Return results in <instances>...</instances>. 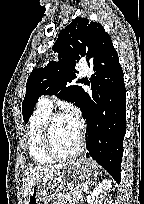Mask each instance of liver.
<instances>
[{
    "label": "liver",
    "mask_w": 144,
    "mask_h": 204,
    "mask_svg": "<svg viewBox=\"0 0 144 204\" xmlns=\"http://www.w3.org/2000/svg\"><path fill=\"white\" fill-rule=\"evenodd\" d=\"M62 163L57 165H37L28 167L23 176V194H24V202L26 204L28 196L32 191L33 187L41 182H47L49 180L55 179V177L60 173V171L68 164Z\"/></svg>",
    "instance_id": "liver-1"
}]
</instances>
